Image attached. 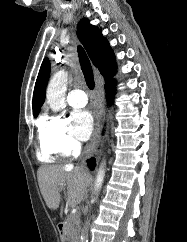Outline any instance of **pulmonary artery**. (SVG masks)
I'll return each instance as SVG.
<instances>
[{"label": "pulmonary artery", "instance_id": "1", "mask_svg": "<svg viewBox=\"0 0 187 242\" xmlns=\"http://www.w3.org/2000/svg\"><path fill=\"white\" fill-rule=\"evenodd\" d=\"M67 102L69 105L79 108L87 103V96L84 91L80 89H73L67 95Z\"/></svg>", "mask_w": 187, "mask_h": 242}]
</instances>
